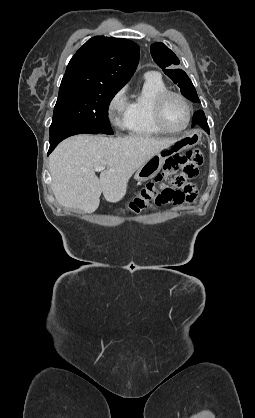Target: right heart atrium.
<instances>
[{"mask_svg":"<svg viewBox=\"0 0 255 418\" xmlns=\"http://www.w3.org/2000/svg\"><path fill=\"white\" fill-rule=\"evenodd\" d=\"M129 107L126 88H120L110 99L107 114L111 124L117 129H125L128 125Z\"/></svg>","mask_w":255,"mask_h":418,"instance_id":"d8ad5b80","label":"right heart atrium"}]
</instances>
